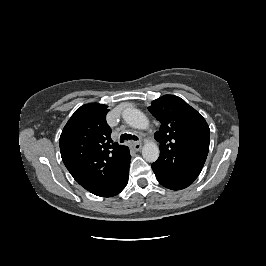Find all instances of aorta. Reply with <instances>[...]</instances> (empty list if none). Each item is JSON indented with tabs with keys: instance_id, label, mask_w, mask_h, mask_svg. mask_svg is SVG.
Returning a JSON list of instances; mask_svg holds the SVG:
<instances>
[{
	"instance_id": "obj_1",
	"label": "aorta",
	"mask_w": 266,
	"mask_h": 266,
	"mask_svg": "<svg viewBox=\"0 0 266 266\" xmlns=\"http://www.w3.org/2000/svg\"><path fill=\"white\" fill-rule=\"evenodd\" d=\"M125 122L136 129H147L149 121L139 109L127 108L123 111ZM159 147L153 141H147L142 148V156L147 162H155L159 157Z\"/></svg>"
}]
</instances>
